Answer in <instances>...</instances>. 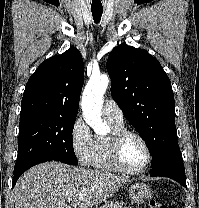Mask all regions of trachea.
Masks as SVG:
<instances>
[{"mask_svg":"<svg viewBox=\"0 0 199 208\" xmlns=\"http://www.w3.org/2000/svg\"><path fill=\"white\" fill-rule=\"evenodd\" d=\"M92 15H93V19L95 21V23H99L103 10L102 9H91Z\"/></svg>","mask_w":199,"mask_h":208,"instance_id":"3493384b","label":"trachea"}]
</instances>
